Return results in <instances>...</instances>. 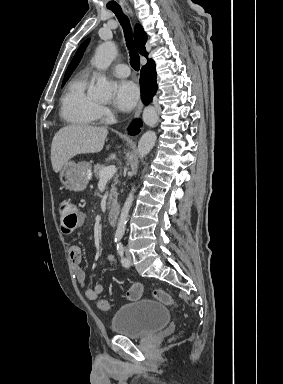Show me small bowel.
I'll use <instances>...</instances> for the list:
<instances>
[{"label":"small bowel","mask_w":283,"mask_h":384,"mask_svg":"<svg viewBox=\"0 0 283 384\" xmlns=\"http://www.w3.org/2000/svg\"><path fill=\"white\" fill-rule=\"evenodd\" d=\"M69 257L74 266V274H75L76 280L81 286L85 297L91 301L97 300L100 294L103 292L104 287L101 284H97L94 287L87 286L86 272L80 266L83 258L81 248L76 245L71 246L69 248ZM115 260L116 259L114 255L109 254L107 256V261L109 263H115Z\"/></svg>","instance_id":"small-bowel-1"}]
</instances>
